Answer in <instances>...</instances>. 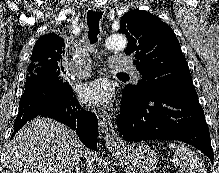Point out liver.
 <instances>
[{
    "mask_svg": "<svg viewBox=\"0 0 219 173\" xmlns=\"http://www.w3.org/2000/svg\"><path fill=\"white\" fill-rule=\"evenodd\" d=\"M83 148L77 134L67 126L38 116L26 123L8 144L2 173H71ZM92 155L85 150L90 169Z\"/></svg>",
    "mask_w": 219,
    "mask_h": 173,
    "instance_id": "1",
    "label": "liver"
}]
</instances>
